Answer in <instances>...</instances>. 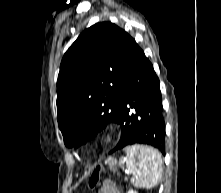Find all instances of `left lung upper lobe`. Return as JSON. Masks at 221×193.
<instances>
[{
  "instance_id": "1",
  "label": "left lung upper lobe",
  "mask_w": 221,
  "mask_h": 193,
  "mask_svg": "<svg viewBox=\"0 0 221 193\" xmlns=\"http://www.w3.org/2000/svg\"><path fill=\"white\" fill-rule=\"evenodd\" d=\"M138 49L127 32L102 22L85 29L65 53L57 81V119L67 147L86 143L109 122L118 123L121 84ZM155 121L149 108L141 124L149 127Z\"/></svg>"
}]
</instances>
